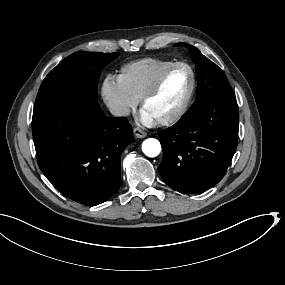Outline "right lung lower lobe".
I'll return each mask as SVG.
<instances>
[{
  "mask_svg": "<svg viewBox=\"0 0 285 285\" xmlns=\"http://www.w3.org/2000/svg\"><path fill=\"white\" fill-rule=\"evenodd\" d=\"M32 133L42 173L67 198L95 206L118 190L121 153L134 140L126 118L68 93L34 107Z\"/></svg>",
  "mask_w": 285,
  "mask_h": 285,
  "instance_id": "1",
  "label": "right lung lower lobe"
}]
</instances>
